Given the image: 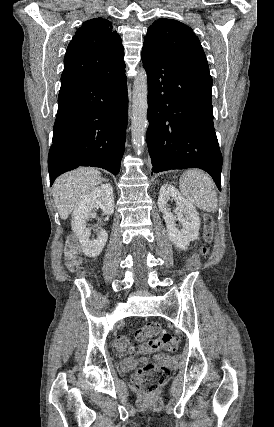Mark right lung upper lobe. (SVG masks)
<instances>
[{
  "label": "right lung upper lobe",
  "instance_id": "obj_1",
  "mask_svg": "<svg viewBox=\"0 0 274 427\" xmlns=\"http://www.w3.org/2000/svg\"><path fill=\"white\" fill-rule=\"evenodd\" d=\"M121 38L101 17L87 20L68 45L60 92L89 83L118 68L123 61Z\"/></svg>",
  "mask_w": 274,
  "mask_h": 427
}]
</instances>
